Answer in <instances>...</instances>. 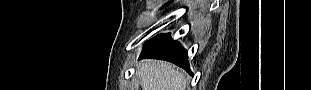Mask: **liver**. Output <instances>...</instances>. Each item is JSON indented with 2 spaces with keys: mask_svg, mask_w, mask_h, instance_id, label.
Here are the masks:
<instances>
[{
  "mask_svg": "<svg viewBox=\"0 0 311 90\" xmlns=\"http://www.w3.org/2000/svg\"><path fill=\"white\" fill-rule=\"evenodd\" d=\"M136 76L143 90H185L186 81L174 66L162 61H142Z\"/></svg>",
  "mask_w": 311,
  "mask_h": 90,
  "instance_id": "obj_1",
  "label": "liver"
}]
</instances>
